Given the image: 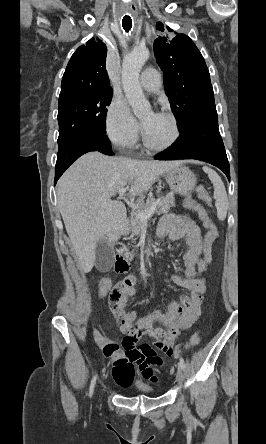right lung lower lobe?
Segmentation results:
<instances>
[{
	"instance_id": "obj_1",
	"label": "right lung lower lobe",
	"mask_w": 266,
	"mask_h": 444,
	"mask_svg": "<svg viewBox=\"0 0 266 444\" xmlns=\"http://www.w3.org/2000/svg\"><path fill=\"white\" fill-rule=\"evenodd\" d=\"M91 151H99L106 155H114L110 141L105 134L98 133L84 136L69 145L63 152L58 153L55 169V184L63 172L75 160L83 154Z\"/></svg>"
}]
</instances>
